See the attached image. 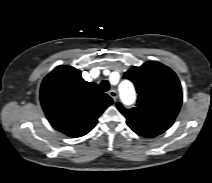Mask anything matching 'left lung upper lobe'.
Returning a JSON list of instances; mask_svg holds the SVG:
<instances>
[{"mask_svg": "<svg viewBox=\"0 0 212 183\" xmlns=\"http://www.w3.org/2000/svg\"><path fill=\"white\" fill-rule=\"evenodd\" d=\"M124 77L134 83L138 93L135 108L126 110L117 104L127 125L144 137L165 132L173 124L182 103L181 85L176 74L161 63L149 61L131 68Z\"/></svg>", "mask_w": 212, "mask_h": 183, "instance_id": "obj_1", "label": "left lung upper lobe"}]
</instances>
